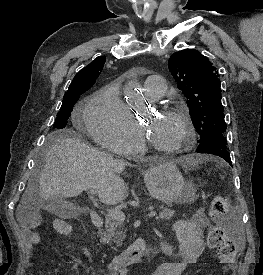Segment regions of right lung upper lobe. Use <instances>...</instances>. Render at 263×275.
<instances>
[{
	"label": "right lung upper lobe",
	"mask_w": 263,
	"mask_h": 275,
	"mask_svg": "<svg viewBox=\"0 0 263 275\" xmlns=\"http://www.w3.org/2000/svg\"><path fill=\"white\" fill-rule=\"evenodd\" d=\"M105 60V56L98 57L86 67L81 69L73 78L66 93L82 89L88 90L89 88H91L92 85L95 83L97 77L99 76L104 66Z\"/></svg>",
	"instance_id": "1"
}]
</instances>
